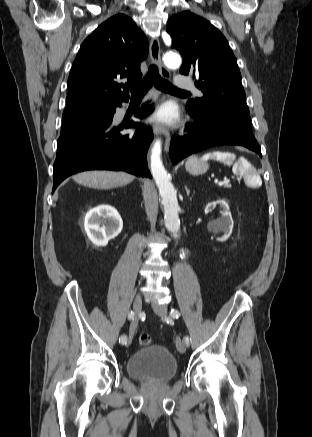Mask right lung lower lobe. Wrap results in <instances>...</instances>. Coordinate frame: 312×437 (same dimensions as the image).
Wrapping results in <instances>:
<instances>
[{"mask_svg":"<svg viewBox=\"0 0 312 437\" xmlns=\"http://www.w3.org/2000/svg\"><path fill=\"white\" fill-rule=\"evenodd\" d=\"M117 106L121 103L112 108L108 119L60 135L53 167V192L65 178L86 170H123L136 176L151 177L146 154L153 131L150 127L141 126L134 133H122L124 129L140 124H113ZM152 110L145 105L135 116L143 118Z\"/></svg>","mask_w":312,"mask_h":437,"instance_id":"98d812e1","label":"right lung lower lobe"}]
</instances>
